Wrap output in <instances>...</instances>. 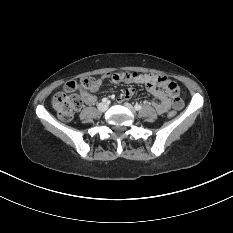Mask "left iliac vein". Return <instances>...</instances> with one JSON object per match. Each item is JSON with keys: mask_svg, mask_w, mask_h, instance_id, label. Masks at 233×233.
I'll use <instances>...</instances> for the list:
<instances>
[{"mask_svg": "<svg viewBox=\"0 0 233 233\" xmlns=\"http://www.w3.org/2000/svg\"><path fill=\"white\" fill-rule=\"evenodd\" d=\"M124 106H125L126 108H128L133 114L136 113L134 107H133L131 104H129V103H124Z\"/></svg>", "mask_w": 233, "mask_h": 233, "instance_id": "left-iliac-vein-1", "label": "left iliac vein"}]
</instances>
